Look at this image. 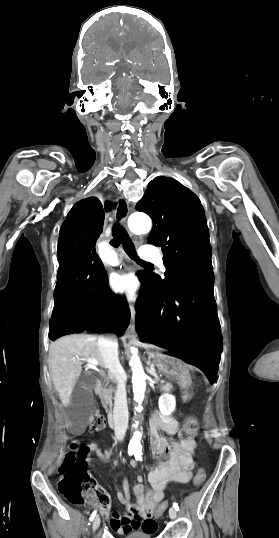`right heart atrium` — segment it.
Returning a JSON list of instances; mask_svg holds the SVG:
<instances>
[{
    "label": "right heart atrium",
    "mask_w": 279,
    "mask_h": 538,
    "mask_svg": "<svg viewBox=\"0 0 279 538\" xmlns=\"http://www.w3.org/2000/svg\"><path fill=\"white\" fill-rule=\"evenodd\" d=\"M133 233L137 234V235H143L144 234V231L143 230H136L134 229L133 230Z\"/></svg>",
    "instance_id": "d8ad5b80"
}]
</instances>
